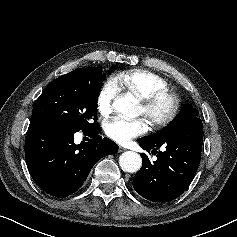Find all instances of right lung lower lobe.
Wrapping results in <instances>:
<instances>
[{"label": "right lung lower lobe", "instance_id": "1", "mask_svg": "<svg viewBox=\"0 0 237 237\" xmlns=\"http://www.w3.org/2000/svg\"><path fill=\"white\" fill-rule=\"evenodd\" d=\"M75 131L47 123L32 122L25 141V157L30 175L45 192L58 198L76 192L92 167L102 157L118 151V145L102 138L101 128L83 130L92 139L74 143Z\"/></svg>", "mask_w": 237, "mask_h": 237}]
</instances>
